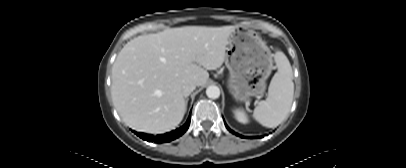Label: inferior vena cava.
Instances as JSON below:
<instances>
[{
	"instance_id": "inferior-vena-cava-1",
	"label": "inferior vena cava",
	"mask_w": 406,
	"mask_h": 168,
	"mask_svg": "<svg viewBox=\"0 0 406 168\" xmlns=\"http://www.w3.org/2000/svg\"><path fill=\"white\" fill-rule=\"evenodd\" d=\"M196 88V84L193 81H188L182 86V93L185 97L189 96Z\"/></svg>"
}]
</instances>
